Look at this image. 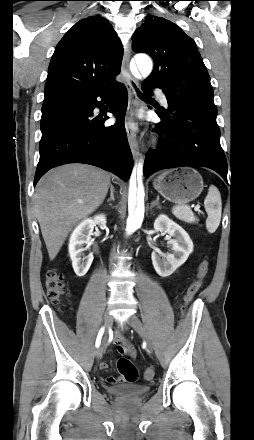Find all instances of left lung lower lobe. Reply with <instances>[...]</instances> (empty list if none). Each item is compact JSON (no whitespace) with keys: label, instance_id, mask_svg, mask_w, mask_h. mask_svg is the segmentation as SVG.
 <instances>
[{"label":"left lung lower lobe","instance_id":"1","mask_svg":"<svg viewBox=\"0 0 254 440\" xmlns=\"http://www.w3.org/2000/svg\"><path fill=\"white\" fill-rule=\"evenodd\" d=\"M156 86L143 82L142 90L151 94ZM168 109H158L161 123L154 130L160 135V144L148 151L144 176L162 169L182 166H203L219 173L227 182V162L220 145L217 112L195 103L181 100L168 101Z\"/></svg>","mask_w":254,"mask_h":440}]
</instances>
